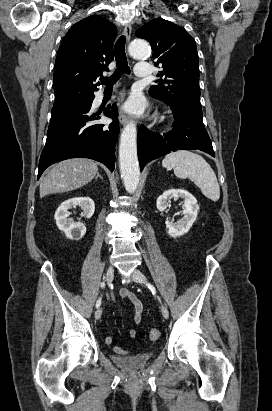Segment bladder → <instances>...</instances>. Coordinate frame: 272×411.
Listing matches in <instances>:
<instances>
[{
  "instance_id": "1",
  "label": "bladder",
  "mask_w": 272,
  "mask_h": 411,
  "mask_svg": "<svg viewBox=\"0 0 272 411\" xmlns=\"http://www.w3.org/2000/svg\"><path fill=\"white\" fill-rule=\"evenodd\" d=\"M152 358V352L133 354L128 356L112 355L111 357L114 364L129 372H137L145 368L147 364L152 360Z\"/></svg>"
}]
</instances>
